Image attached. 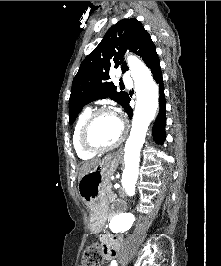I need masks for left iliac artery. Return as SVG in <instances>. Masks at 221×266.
<instances>
[{
    "label": "left iliac artery",
    "mask_w": 221,
    "mask_h": 266,
    "mask_svg": "<svg viewBox=\"0 0 221 266\" xmlns=\"http://www.w3.org/2000/svg\"><path fill=\"white\" fill-rule=\"evenodd\" d=\"M110 266H117V262H116V260H113L112 262H111V265Z\"/></svg>",
    "instance_id": "left-iliac-artery-1"
}]
</instances>
